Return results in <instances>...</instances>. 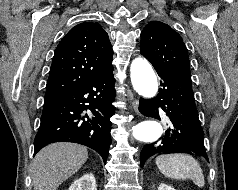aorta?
Listing matches in <instances>:
<instances>
[{"label": "aorta", "mask_w": 238, "mask_h": 190, "mask_svg": "<svg viewBox=\"0 0 238 190\" xmlns=\"http://www.w3.org/2000/svg\"><path fill=\"white\" fill-rule=\"evenodd\" d=\"M131 82L134 90L144 98H152L158 90V83L152 66L146 59L136 58L130 66ZM163 133L161 124L154 119H146L133 127L135 140L143 143L157 141Z\"/></svg>", "instance_id": "obj_1"}]
</instances>
